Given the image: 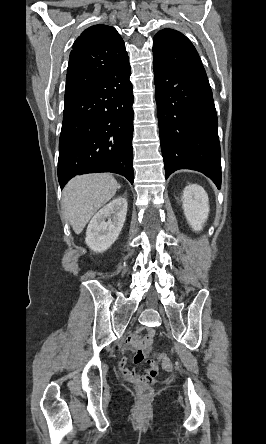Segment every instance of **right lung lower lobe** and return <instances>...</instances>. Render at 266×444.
Segmentation results:
<instances>
[{"label":"right lung lower lobe","mask_w":266,"mask_h":444,"mask_svg":"<svg viewBox=\"0 0 266 444\" xmlns=\"http://www.w3.org/2000/svg\"><path fill=\"white\" fill-rule=\"evenodd\" d=\"M129 59L65 102L59 139L61 188L75 175L113 172L133 183V93Z\"/></svg>","instance_id":"obj_1"}]
</instances>
